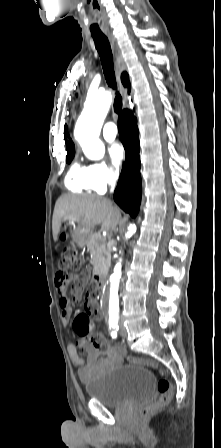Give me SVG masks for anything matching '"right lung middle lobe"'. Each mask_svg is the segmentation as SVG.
<instances>
[{
    "instance_id": "right-lung-middle-lobe-1",
    "label": "right lung middle lobe",
    "mask_w": 221,
    "mask_h": 448,
    "mask_svg": "<svg viewBox=\"0 0 221 448\" xmlns=\"http://www.w3.org/2000/svg\"><path fill=\"white\" fill-rule=\"evenodd\" d=\"M75 153H68L66 156V162L70 163L71 160L73 159Z\"/></svg>"
}]
</instances>
